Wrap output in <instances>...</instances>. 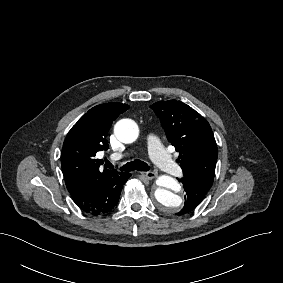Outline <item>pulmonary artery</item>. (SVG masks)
Returning a JSON list of instances; mask_svg holds the SVG:
<instances>
[{"mask_svg": "<svg viewBox=\"0 0 283 283\" xmlns=\"http://www.w3.org/2000/svg\"><path fill=\"white\" fill-rule=\"evenodd\" d=\"M147 146L151 161L158 169L165 173H172L176 169V162L166 155L162 139L158 135L151 134L147 139ZM118 154L123 158L127 155L126 153ZM175 174L180 175V169H178Z\"/></svg>", "mask_w": 283, "mask_h": 283, "instance_id": "pulmonary-artery-1", "label": "pulmonary artery"}]
</instances>
